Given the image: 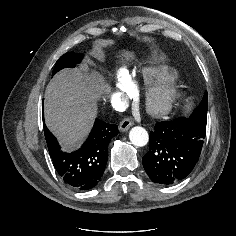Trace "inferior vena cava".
Returning a JSON list of instances; mask_svg holds the SVG:
<instances>
[{
  "mask_svg": "<svg viewBox=\"0 0 236 236\" xmlns=\"http://www.w3.org/2000/svg\"><path fill=\"white\" fill-rule=\"evenodd\" d=\"M111 103H112V106L118 111H124L125 108L127 107V103L119 95H114L111 100Z\"/></svg>",
  "mask_w": 236,
  "mask_h": 236,
  "instance_id": "1",
  "label": "inferior vena cava"
}]
</instances>
